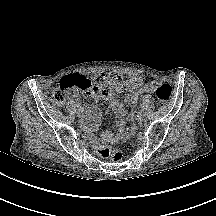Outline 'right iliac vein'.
<instances>
[{
  "label": "right iliac vein",
  "mask_w": 216,
  "mask_h": 216,
  "mask_svg": "<svg viewBox=\"0 0 216 216\" xmlns=\"http://www.w3.org/2000/svg\"><path fill=\"white\" fill-rule=\"evenodd\" d=\"M77 116L81 120L84 119V113L81 114V113L78 112Z\"/></svg>",
  "instance_id": "63e3f726"
}]
</instances>
